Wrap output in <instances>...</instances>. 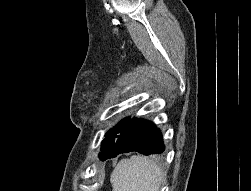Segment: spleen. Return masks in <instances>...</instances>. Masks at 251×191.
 Returning a JSON list of instances; mask_svg holds the SVG:
<instances>
[{
    "instance_id": "spleen-1",
    "label": "spleen",
    "mask_w": 251,
    "mask_h": 191,
    "mask_svg": "<svg viewBox=\"0 0 251 191\" xmlns=\"http://www.w3.org/2000/svg\"><path fill=\"white\" fill-rule=\"evenodd\" d=\"M110 181L112 191H159L163 171L149 157L131 155L129 159H120L111 173Z\"/></svg>"
}]
</instances>
